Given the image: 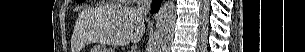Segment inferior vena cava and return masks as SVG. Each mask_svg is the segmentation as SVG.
Listing matches in <instances>:
<instances>
[{"mask_svg":"<svg viewBox=\"0 0 305 52\" xmlns=\"http://www.w3.org/2000/svg\"><path fill=\"white\" fill-rule=\"evenodd\" d=\"M152 0H138L137 10L141 14H145L150 10Z\"/></svg>","mask_w":305,"mask_h":52,"instance_id":"obj_1","label":"inferior vena cava"}]
</instances>
